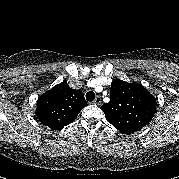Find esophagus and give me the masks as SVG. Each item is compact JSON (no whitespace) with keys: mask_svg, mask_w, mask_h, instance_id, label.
Wrapping results in <instances>:
<instances>
[{"mask_svg":"<svg viewBox=\"0 0 179 179\" xmlns=\"http://www.w3.org/2000/svg\"><path fill=\"white\" fill-rule=\"evenodd\" d=\"M94 104L100 105L101 104V97L97 96L96 99L94 100Z\"/></svg>","mask_w":179,"mask_h":179,"instance_id":"1","label":"esophagus"}]
</instances>
